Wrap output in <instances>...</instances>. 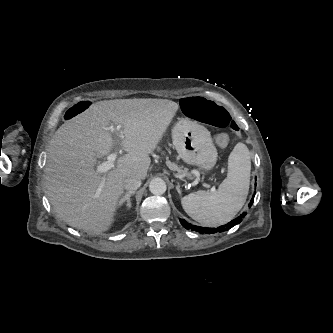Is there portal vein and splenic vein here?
I'll return each instance as SVG.
<instances>
[{"instance_id":"portal-vein-and-splenic-vein-1","label":"portal vein and splenic vein","mask_w":333,"mask_h":333,"mask_svg":"<svg viewBox=\"0 0 333 333\" xmlns=\"http://www.w3.org/2000/svg\"><path fill=\"white\" fill-rule=\"evenodd\" d=\"M115 129L117 131H119L121 129V125H118ZM117 156H118V152H113V153L109 154L107 156V161L99 164L97 166V170L101 173H106L108 170H110L111 168L114 167V161L116 160ZM104 182H105V179L102 180L101 187L103 186ZM101 187L98 189V191L101 190ZM212 191H213V189H212Z\"/></svg>"}]
</instances>
